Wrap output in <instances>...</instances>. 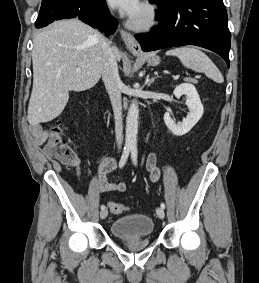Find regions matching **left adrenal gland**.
I'll return each instance as SVG.
<instances>
[{
    "mask_svg": "<svg viewBox=\"0 0 259 283\" xmlns=\"http://www.w3.org/2000/svg\"><path fill=\"white\" fill-rule=\"evenodd\" d=\"M157 77H158V76L152 77V78H149V76L147 77L146 83H147L148 87L154 82V80H155Z\"/></svg>",
    "mask_w": 259,
    "mask_h": 283,
    "instance_id": "1",
    "label": "left adrenal gland"
}]
</instances>
